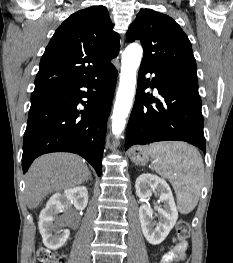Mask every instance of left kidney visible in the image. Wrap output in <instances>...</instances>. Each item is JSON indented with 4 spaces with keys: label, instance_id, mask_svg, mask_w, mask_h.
<instances>
[{
    "label": "left kidney",
    "instance_id": "obj_1",
    "mask_svg": "<svg viewBox=\"0 0 233 263\" xmlns=\"http://www.w3.org/2000/svg\"><path fill=\"white\" fill-rule=\"evenodd\" d=\"M135 189L137 196L145 202L139 208L142 232L150 244L158 245L164 241L178 219L172 191L166 181L154 174H141L136 179ZM153 192L159 196L158 202L163 203V207L158 208L159 222L153 221L154 211L147 202Z\"/></svg>",
    "mask_w": 233,
    "mask_h": 263
}]
</instances>
